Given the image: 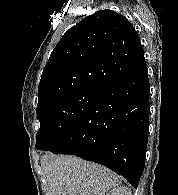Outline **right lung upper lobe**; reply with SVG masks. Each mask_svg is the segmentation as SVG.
Wrapping results in <instances>:
<instances>
[{"instance_id":"1","label":"right lung upper lobe","mask_w":178,"mask_h":195,"mask_svg":"<svg viewBox=\"0 0 178 195\" xmlns=\"http://www.w3.org/2000/svg\"><path fill=\"white\" fill-rule=\"evenodd\" d=\"M146 66L140 38L121 14L101 10L70 28L52 51L38 104L75 90H100Z\"/></svg>"}]
</instances>
